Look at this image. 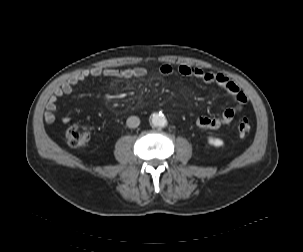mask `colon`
<instances>
[{
  "label": "colon",
  "instance_id": "obj_1",
  "mask_svg": "<svg viewBox=\"0 0 303 252\" xmlns=\"http://www.w3.org/2000/svg\"><path fill=\"white\" fill-rule=\"evenodd\" d=\"M251 126L247 121H241L237 125V133L245 136L250 132ZM89 138V130L87 127L74 124L71 125L66 132V140L69 144L75 146H84Z\"/></svg>",
  "mask_w": 303,
  "mask_h": 252
}]
</instances>
